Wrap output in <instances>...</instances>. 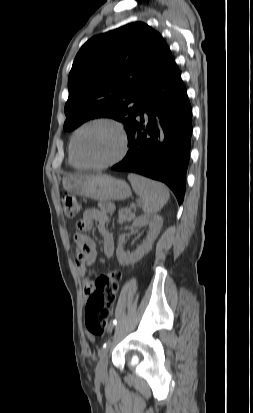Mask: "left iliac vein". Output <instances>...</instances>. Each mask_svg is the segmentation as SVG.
I'll return each mask as SVG.
<instances>
[{"label":"left iliac vein","mask_w":253,"mask_h":413,"mask_svg":"<svg viewBox=\"0 0 253 413\" xmlns=\"http://www.w3.org/2000/svg\"><path fill=\"white\" fill-rule=\"evenodd\" d=\"M107 364H108V358L107 355L101 356L99 359L97 366H96V376L99 379H103L107 375Z\"/></svg>","instance_id":"1"}]
</instances>
